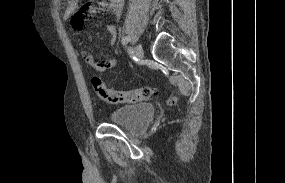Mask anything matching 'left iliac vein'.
Returning <instances> with one entry per match:
<instances>
[{
	"label": "left iliac vein",
	"instance_id": "obj_1",
	"mask_svg": "<svg viewBox=\"0 0 285 183\" xmlns=\"http://www.w3.org/2000/svg\"><path fill=\"white\" fill-rule=\"evenodd\" d=\"M134 53L138 59H142L144 56V51L141 44H137L134 48Z\"/></svg>",
	"mask_w": 285,
	"mask_h": 183
}]
</instances>
